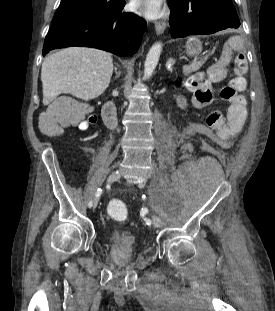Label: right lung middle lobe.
<instances>
[{
    "label": "right lung middle lobe",
    "mask_w": 275,
    "mask_h": 311,
    "mask_svg": "<svg viewBox=\"0 0 275 311\" xmlns=\"http://www.w3.org/2000/svg\"><path fill=\"white\" fill-rule=\"evenodd\" d=\"M116 0H62L53 21L67 16L106 9Z\"/></svg>",
    "instance_id": "1"
}]
</instances>
